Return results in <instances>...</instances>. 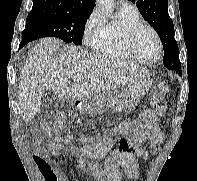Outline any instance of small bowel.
<instances>
[{
    "label": "small bowel",
    "instance_id": "c3829d8e",
    "mask_svg": "<svg viewBox=\"0 0 197 181\" xmlns=\"http://www.w3.org/2000/svg\"><path fill=\"white\" fill-rule=\"evenodd\" d=\"M119 129L131 150H113L106 157L103 166L98 162V159L106 154L107 145L103 143L76 149L67 147L56 140L49 141L46 148H41L39 140H36L38 147L34 160L45 181H68L64 172L50 163L51 158L59 159L64 151L76 156L79 168L93 175L97 181H121V171L129 178L136 179L139 176L138 159H147L150 153L131 139L126 124H121ZM149 138L153 147L152 153H154L164 139V135L157 125L152 129Z\"/></svg>",
    "mask_w": 197,
    "mask_h": 181
}]
</instances>
